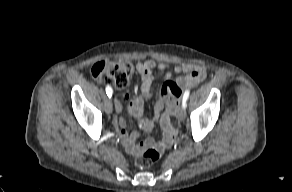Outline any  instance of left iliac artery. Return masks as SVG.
<instances>
[{
    "label": "left iliac artery",
    "instance_id": "1",
    "mask_svg": "<svg viewBox=\"0 0 292 192\" xmlns=\"http://www.w3.org/2000/svg\"><path fill=\"white\" fill-rule=\"evenodd\" d=\"M189 94H190V91H189V90H186L185 93H184V95H183L182 106H183L184 108H186V106H187V105H186V102H187V100H188Z\"/></svg>",
    "mask_w": 292,
    "mask_h": 192
}]
</instances>
